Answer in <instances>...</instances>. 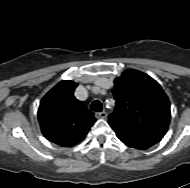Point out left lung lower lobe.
Segmentation results:
<instances>
[{"label": "left lung lower lobe", "mask_w": 190, "mask_h": 188, "mask_svg": "<svg viewBox=\"0 0 190 188\" xmlns=\"http://www.w3.org/2000/svg\"><path fill=\"white\" fill-rule=\"evenodd\" d=\"M110 126L124 144L139 150L147 149L158 143L163 138V136L159 134L139 132L115 124Z\"/></svg>", "instance_id": "0a47b994"}]
</instances>
